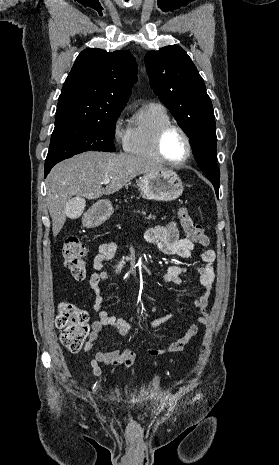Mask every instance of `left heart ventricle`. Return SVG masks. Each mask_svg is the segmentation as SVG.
<instances>
[{
	"label": "left heart ventricle",
	"mask_w": 279,
	"mask_h": 465,
	"mask_svg": "<svg viewBox=\"0 0 279 465\" xmlns=\"http://www.w3.org/2000/svg\"><path fill=\"white\" fill-rule=\"evenodd\" d=\"M163 151L166 157L173 161L181 160L187 153V145L182 134L177 130H170L164 137Z\"/></svg>",
	"instance_id": "b2bd125f"
}]
</instances>
